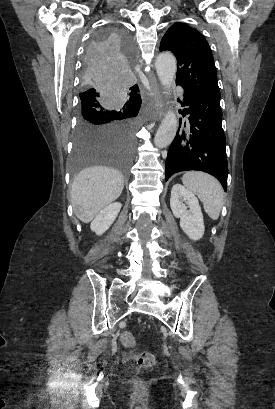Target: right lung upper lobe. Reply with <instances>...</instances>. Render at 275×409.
<instances>
[{
  "mask_svg": "<svg viewBox=\"0 0 275 409\" xmlns=\"http://www.w3.org/2000/svg\"><path fill=\"white\" fill-rule=\"evenodd\" d=\"M131 92L129 93L130 100L128 102H141L140 95H137L138 85H134L130 88Z\"/></svg>",
  "mask_w": 275,
  "mask_h": 409,
  "instance_id": "right-lung-upper-lobe-1",
  "label": "right lung upper lobe"
}]
</instances>
